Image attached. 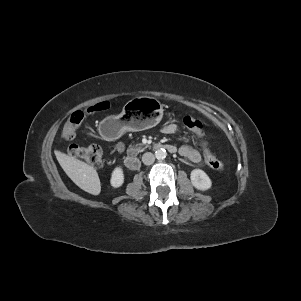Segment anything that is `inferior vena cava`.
Here are the masks:
<instances>
[{"label":"inferior vena cava","mask_w":301,"mask_h":301,"mask_svg":"<svg viewBox=\"0 0 301 301\" xmlns=\"http://www.w3.org/2000/svg\"><path fill=\"white\" fill-rule=\"evenodd\" d=\"M154 161H155V156L152 153L146 152V153L143 154L142 162L145 165H151Z\"/></svg>","instance_id":"602c4592"}]
</instances>
